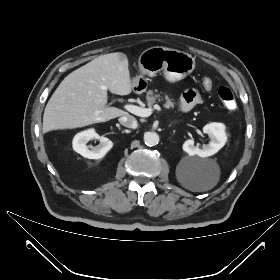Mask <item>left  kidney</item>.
<instances>
[{"label":"left kidney","mask_w":280,"mask_h":280,"mask_svg":"<svg viewBox=\"0 0 280 280\" xmlns=\"http://www.w3.org/2000/svg\"><path fill=\"white\" fill-rule=\"evenodd\" d=\"M203 132L208 134L211 142L208 145L199 148L194 146V140L188 139L184 142L182 148L190 156L208 157L216 154L226 143L227 136L225 126L222 123H209L203 127Z\"/></svg>","instance_id":"5707ae66"}]
</instances>
